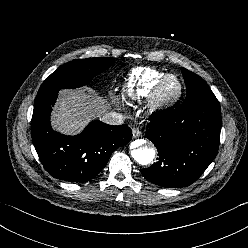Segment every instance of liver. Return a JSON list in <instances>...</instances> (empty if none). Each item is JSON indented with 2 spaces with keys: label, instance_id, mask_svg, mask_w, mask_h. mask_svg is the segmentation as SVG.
I'll return each instance as SVG.
<instances>
[{
  "label": "liver",
  "instance_id": "obj_1",
  "mask_svg": "<svg viewBox=\"0 0 248 248\" xmlns=\"http://www.w3.org/2000/svg\"><path fill=\"white\" fill-rule=\"evenodd\" d=\"M106 100L92 89L62 90L52 112V126L61 133L80 132L93 117L105 115Z\"/></svg>",
  "mask_w": 248,
  "mask_h": 248
}]
</instances>
